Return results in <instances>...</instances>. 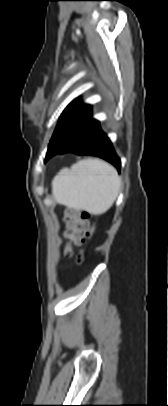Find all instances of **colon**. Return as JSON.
Returning <instances> with one entry per match:
<instances>
[{"label": "colon", "mask_w": 168, "mask_h": 406, "mask_svg": "<svg viewBox=\"0 0 168 406\" xmlns=\"http://www.w3.org/2000/svg\"><path fill=\"white\" fill-rule=\"evenodd\" d=\"M66 224L65 237L70 244L77 246L86 245L94 234L95 226L87 212L75 208L67 210ZM78 261H82V255L78 256Z\"/></svg>", "instance_id": "1"}]
</instances>
